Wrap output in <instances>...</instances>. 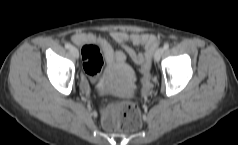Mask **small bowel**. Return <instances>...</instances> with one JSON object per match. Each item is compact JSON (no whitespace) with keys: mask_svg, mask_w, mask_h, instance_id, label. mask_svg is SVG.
<instances>
[{"mask_svg":"<svg viewBox=\"0 0 238 145\" xmlns=\"http://www.w3.org/2000/svg\"><path fill=\"white\" fill-rule=\"evenodd\" d=\"M110 36L123 47L124 52L114 51L106 39L92 33L77 32L72 36V40L78 45L96 44L101 55L109 63H123L127 55L140 67L142 85L144 89H147L150 86L151 58L158 45L157 37L149 33H128L123 30H113ZM134 47H142L143 52L137 51Z\"/></svg>","mask_w":238,"mask_h":145,"instance_id":"c3829d8e","label":"small bowel"}]
</instances>
